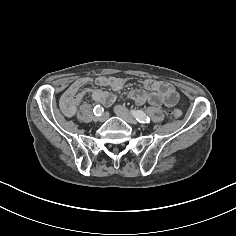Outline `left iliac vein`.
Returning a JSON list of instances; mask_svg holds the SVG:
<instances>
[{
  "label": "left iliac vein",
  "instance_id": "1",
  "mask_svg": "<svg viewBox=\"0 0 236 236\" xmlns=\"http://www.w3.org/2000/svg\"><path fill=\"white\" fill-rule=\"evenodd\" d=\"M114 112L117 116H119L120 118H122L126 122H128L130 124L136 123L135 118L124 106H121V105L114 106Z\"/></svg>",
  "mask_w": 236,
  "mask_h": 236
}]
</instances>
